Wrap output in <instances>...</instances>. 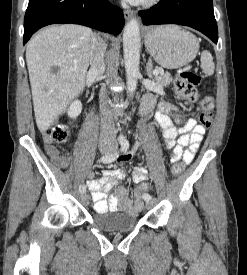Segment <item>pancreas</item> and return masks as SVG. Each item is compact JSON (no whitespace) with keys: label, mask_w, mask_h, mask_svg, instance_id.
<instances>
[{"label":"pancreas","mask_w":247,"mask_h":275,"mask_svg":"<svg viewBox=\"0 0 247 275\" xmlns=\"http://www.w3.org/2000/svg\"><path fill=\"white\" fill-rule=\"evenodd\" d=\"M173 78L170 73H163L155 76V81L161 86H167L172 82Z\"/></svg>","instance_id":"cf45deb5"}]
</instances>
